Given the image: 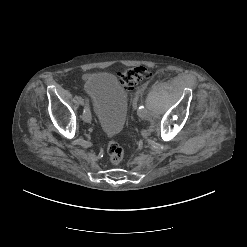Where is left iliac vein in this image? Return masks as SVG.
Wrapping results in <instances>:
<instances>
[{"instance_id":"1","label":"left iliac vein","mask_w":247,"mask_h":247,"mask_svg":"<svg viewBox=\"0 0 247 247\" xmlns=\"http://www.w3.org/2000/svg\"><path fill=\"white\" fill-rule=\"evenodd\" d=\"M138 115L142 118V119H148L150 114L149 112L145 109L143 111H138Z\"/></svg>"}]
</instances>
